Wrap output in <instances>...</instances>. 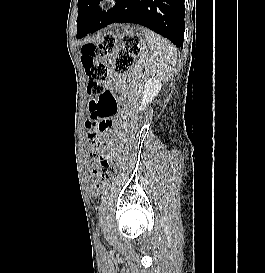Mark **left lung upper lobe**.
I'll return each mask as SVG.
<instances>
[{
    "label": "left lung upper lobe",
    "mask_w": 265,
    "mask_h": 273,
    "mask_svg": "<svg viewBox=\"0 0 265 273\" xmlns=\"http://www.w3.org/2000/svg\"><path fill=\"white\" fill-rule=\"evenodd\" d=\"M102 0H78V18H77V32L83 23V18L87 16L92 10L96 9ZM119 2L120 0H116Z\"/></svg>",
    "instance_id": "1"
}]
</instances>
